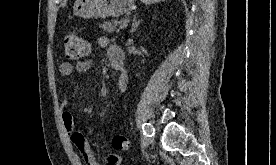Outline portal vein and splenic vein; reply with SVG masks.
I'll return each instance as SVG.
<instances>
[{"instance_id":"portal-vein-and-splenic-vein-1","label":"portal vein and splenic vein","mask_w":276,"mask_h":165,"mask_svg":"<svg viewBox=\"0 0 276 165\" xmlns=\"http://www.w3.org/2000/svg\"><path fill=\"white\" fill-rule=\"evenodd\" d=\"M119 27H120L121 29L127 27V22H126V21H124V22H119Z\"/></svg>"}]
</instances>
